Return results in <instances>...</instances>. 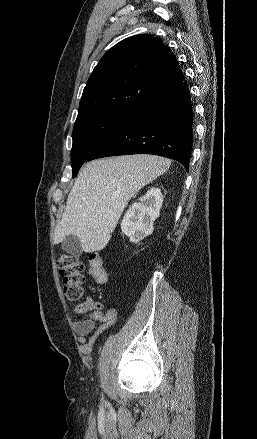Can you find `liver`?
I'll list each match as a JSON object with an SVG mask.
<instances>
[{"label": "liver", "mask_w": 257, "mask_h": 439, "mask_svg": "<svg viewBox=\"0 0 257 439\" xmlns=\"http://www.w3.org/2000/svg\"><path fill=\"white\" fill-rule=\"evenodd\" d=\"M170 164L166 158L146 154L85 164L68 195L54 243L74 235L86 253L104 249L131 197L166 172Z\"/></svg>", "instance_id": "liver-1"}]
</instances>
